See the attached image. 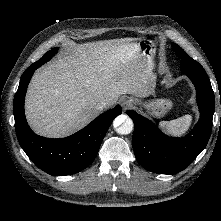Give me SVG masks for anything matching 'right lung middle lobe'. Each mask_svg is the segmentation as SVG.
I'll use <instances>...</instances> for the list:
<instances>
[{
  "label": "right lung middle lobe",
  "mask_w": 221,
  "mask_h": 221,
  "mask_svg": "<svg viewBox=\"0 0 221 221\" xmlns=\"http://www.w3.org/2000/svg\"><path fill=\"white\" fill-rule=\"evenodd\" d=\"M58 51V48H53L50 51H48L40 60L39 62H47L48 60H50L52 58V56H54V54Z\"/></svg>",
  "instance_id": "obj_1"
}]
</instances>
